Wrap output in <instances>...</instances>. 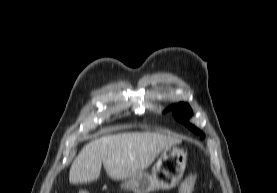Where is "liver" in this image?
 <instances>
[{"label": "liver", "instance_id": "liver-1", "mask_svg": "<svg viewBox=\"0 0 277 193\" xmlns=\"http://www.w3.org/2000/svg\"><path fill=\"white\" fill-rule=\"evenodd\" d=\"M179 143V138L151 132L102 136L80 151L71 165L69 181L77 184L98 179L102 164L112 179H128L144 172L165 148Z\"/></svg>", "mask_w": 277, "mask_h": 193}]
</instances>
